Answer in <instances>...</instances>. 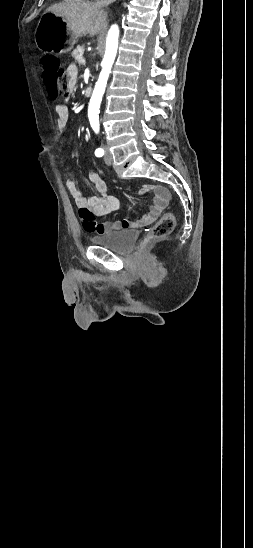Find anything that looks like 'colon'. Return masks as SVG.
Returning a JSON list of instances; mask_svg holds the SVG:
<instances>
[{
  "mask_svg": "<svg viewBox=\"0 0 253 548\" xmlns=\"http://www.w3.org/2000/svg\"><path fill=\"white\" fill-rule=\"evenodd\" d=\"M45 67V90L50 91L49 95L55 98L58 93L67 96L70 92L69 77L64 70L60 68V64L57 59L53 57H45L43 59ZM174 217L170 213L164 214L152 227L144 241L142 247H145L150 242L167 236L174 229Z\"/></svg>",
  "mask_w": 253,
  "mask_h": 548,
  "instance_id": "colon-1",
  "label": "colon"
}]
</instances>
